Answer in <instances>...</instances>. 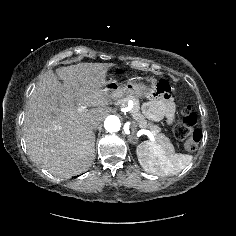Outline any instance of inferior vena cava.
Masks as SVG:
<instances>
[{"instance_id":"1","label":"inferior vena cava","mask_w":236,"mask_h":236,"mask_svg":"<svg viewBox=\"0 0 236 236\" xmlns=\"http://www.w3.org/2000/svg\"><path fill=\"white\" fill-rule=\"evenodd\" d=\"M100 123L98 121L92 120L89 124L92 130H96L99 127Z\"/></svg>"}]
</instances>
